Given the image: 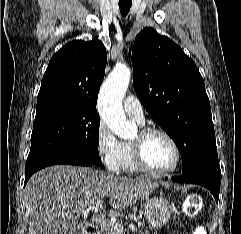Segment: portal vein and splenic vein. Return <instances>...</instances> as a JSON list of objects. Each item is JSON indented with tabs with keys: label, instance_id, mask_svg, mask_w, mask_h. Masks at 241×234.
<instances>
[{
	"label": "portal vein and splenic vein",
	"instance_id": "portal-vein-and-splenic-vein-1",
	"mask_svg": "<svg viewBox=\"0 0 241 234\" xmlns=\"http://www.w3.org/2000/svg\"><path fill=\"white\" fill-rule=\"evenodd\" d=\"M102 203H103L102 200L97 201V203L94 206L89 207L88 209L83 211V213L87 214L88 211L91 209L96 210L98 207H100L102 205ZM92 219L97 221L104 228H111V229H114L117 231L121 230V227L119 225L115 224L114 222L110 221L109 219H106L103 215H93Z\"/></svg>",
	"mask_w": 241,
	"mask_h": 234
}]
</instances>
